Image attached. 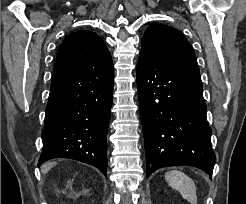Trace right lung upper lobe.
Listing matches in <instances>:
<instances>
[{
  "mask_svg": "<svg viewBox=\"0 0 246 204\" xmlns=\"http://www.w3.org/2000/svg\"><path fill=\"white\" fill-rule=\"evenodd\" d=\"M113 67L103 40L94 32L78 31L68 35L60 45L54 74Z\"/></svg>",
  "mask_w": 246,
  "mask_h": 204,
  "instance_id": "cb5924a9",
  "label": "right lung upper lobe"
}]
</instances>
